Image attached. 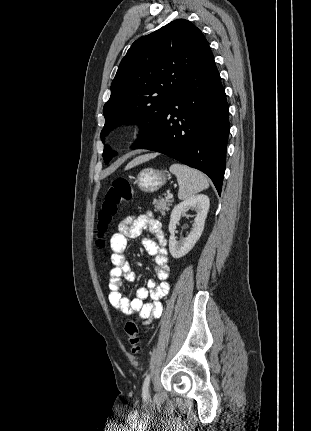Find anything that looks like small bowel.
Instances as JSON below:
<instances>
[{
  "instance_id": "obj_1",
  "label": "small bowel",
  "mask_w": 311,
  "mask_h": 431,
  "mask_svg": "<svg viewBox=\"0 0 311 431\" xmlns=\"http://www.w3.org/2000/svg\"><path fill=\"white\" fill-rule=\"evenodd\" d=\"M146 229L154 235L155 240L144 238L142 244L146 252L154 258L155 272L160 282L149 280L147 287H139L136 290V297L129 299L121 293V290L124 280L129 282L135 280V273L126 258L125 251L128 241L137 238ZM166 244L162 223L151 213L128 216L121 221L118 231L110 239L113 267L109 271V302L117 311L123 314L137 313L145 323L161 314V299L169 290L167 280L170 276V267ZM147 298H150L151 302L143 303Z\"/></svg>"
}]
</instances>
